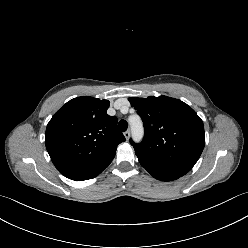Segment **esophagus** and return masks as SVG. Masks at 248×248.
Here are the masks:
<instances>
[{"mask_svg": "<svg viewBox=\"0 0 248 248\" xmlns=\"http://www.w3.org/2000/svg\"><path fill=\"white\" fill-rule=\"evenodd\" d=\"M124 137L126 138V140L129 139V137H130V131L129 130L124 132Z\"/></svg>", "mask_w": 248, "mask_h": 248, "instance_id": "1", "label": "esophagus"}]
</instances>
